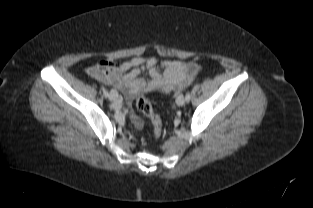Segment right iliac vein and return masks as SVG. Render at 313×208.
Wrapping results in <instances>:
<instances>
[{
  "label": "right iliac vein",
  "mask_w": 313,
  "mask_h": 208,
  "mask_svg": "<svg viewBox=\"0 0 313 208\" xmlns=\"http://www.w3.org/2000/svg\"><path fill=\"white\" fill-rule=\"evenodd\" d=\"M109 99L115 104H118V92L115 89H112L109 93Z\"/></svg>",
  "instance_id": "obj_1"
}]
</instances>
